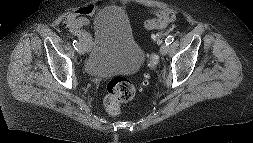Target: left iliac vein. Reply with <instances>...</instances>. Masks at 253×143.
Listing matches in <instances>:
<instances>
[{"mask_svg":"<svg viewBox=\"0 0 253 143\" xmlns=\"http://www.w3.org/2000/svg\"><path fill=\"white\" fill-rule=\"evenodd\" d=\"M168 51H169L168 45L163 44V45L161 46V48H160L161 54H162V55H166V54L168 53Z\"/></svg>","mask_w":253,"mask_h":143,"instance_id":"1","label":"left iliac vein"}]
</instances>
